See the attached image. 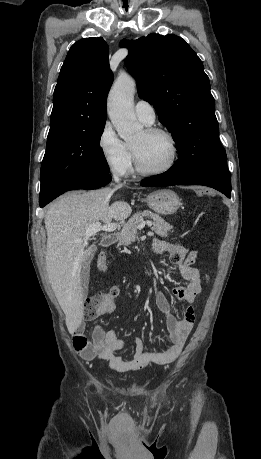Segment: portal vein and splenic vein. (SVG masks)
<instances>
[{
  "instance_id": "obj_1",
  "label": "portal vein and splenic vein",
  "mask_w": 261,
  "mask_h": 459,
  "mask_svg": "<svg viewBox=\"0 0 261 459\" xmlns=\"http://www.w3.org/2000/svg\"><path fill=\"white\" fill-rule=\"evenodd\" d=\"M148 225L149 227H151V223L150 222H142L138 228L139 229H142L144 226ZM117 228V224L116 223H109V224H105V225H101L100 222H96L92 225H90L87 230L85 231V234H84V237L81 238V239H76L75 242L77 243H84L86 244L88 239L93 236L94 234L98 233L99 231H108V232H112V231H115Z\"/></svg>"
}]
</instances>
